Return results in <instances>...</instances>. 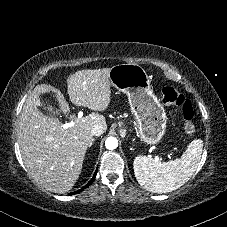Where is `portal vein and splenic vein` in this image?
<instances>
[{"mask_svg":"<svg viewBox=\"0 0 227 227\" xmlns=\"http://www.w3.org/2000/svg\"><path fill=\"white\" fill-rule=\"evenodd\" d=\"M82 116H83V112L82 111H79L78 112V118H82ZM73 125H74L73 122H69V123L63 124L62 127L63 128H70ZM155 159L156 160H159L160 158H159V156H155Z\"/></svg>","mask_w":227,"mask_h":227,"instance_id":"18ae733b","label":"portal vein and splenic vein"}]
</instances>
